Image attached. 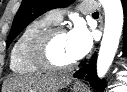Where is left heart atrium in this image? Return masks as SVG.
Masks as SVG:
<instances>
[{
	"mask_svg": "<svg viewBox=\"0 0 127 92\" xmlns=\"http://www.w3.org/2000/svg\"><path fill=\"white\" fill-rule=\"evenodd\" d=\"M68 44L75 60L83 58L92 47V35L82 23H76L67 33Z\"/></svg>",
	"mask_w": 127,
	"mask_h": 92,
	"instance_id": "obj_1",
	"label": "left heart atrium"
}]
</instances>
